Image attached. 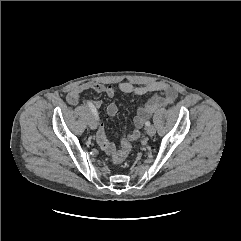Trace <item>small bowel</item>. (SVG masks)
I'll use <instances>...</instances> for the list:
<instances>
[{
  "label": "small bowel",
  "mask_w": 241,
  "mask_h": 241,
  "mask_svg": "<svg viewBox=\"0 0 241 241\" xmlns=\"http://www.w3.org/2000/svg\"><path fill=\"white\" fill-rule=\"evenodd\" d=\"M89 89L98 93H105L109 97H114L118 91L136 96H143L150 93H160V95L154 96L148 102L138 107L137 115L133 120L134 130L128 136L130 142L138 139L140 129L154 110L171 104L177 97V91L175 88L164 82H153L144 85H135L130 82H121L118 85H104L97 82H90L71 88L67 94V102L73 106L77 105L81 94ZM91 103L95 108H100L102 105L101 101H93ZM117 112L118 107L115 103L107 105L106 113L109 116H114ZM97 142L100 148L108 155H112L116 151L115 144L108 140L103 127H100L97 131Z\"/></svg>",
  "instance_id": "obj_1"
}]
</instances>
